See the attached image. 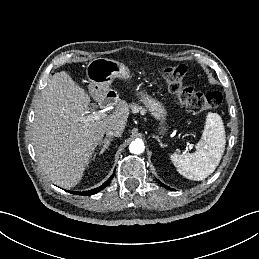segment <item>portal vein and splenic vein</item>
<instances>
[{"label": "portal vein and splenic vein", "instance_id": "obj_1", "mask_svg": "<svg viewBox=\"0 0 259 259\" xmlns=\"http://www.w3.org/2000/svg\"><path fill=\"white\" fill-rule=\"evenodd\" d=\"M105 116H106L105 113H103L101 111H98V112H94L91 115H87V116L82 117V121L88 122V121H91V120H99V119L104 118Z\"/></svg>", "mask_w": 259, "mask_h": 259}]
</instances>
